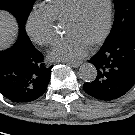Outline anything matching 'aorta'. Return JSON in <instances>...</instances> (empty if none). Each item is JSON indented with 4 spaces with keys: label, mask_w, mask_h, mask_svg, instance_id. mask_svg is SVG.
Here are the masks:
<instances>
[{
    "label": "aorta",
    "mask_w": 135,
    "mask_h": 135,
    "mask_svg": "<svg viewBox=\"0 0 135 135\" xmlns=\"http://www.w3.org/2000/svg\"><path fill=\"white\" fill-rule=\"evenodd\" d=\"M79 75L85 82H92L96 79L97 70L93 64L84 63L79 68Z\"/></svg>",
    "instance_id": "aorta-1"
}]
</instances>
